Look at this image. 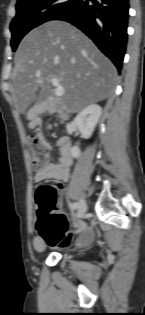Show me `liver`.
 Returning a JSON list of instances; mask_svg holds the SVG:
<instances>
[{"instance_id": "obj_1", "label": "liver", "mask_w": 145, "mask_h": 315, "mask_svg": "<svg viewBox=\"0 0 145 315\" xmlns=\"http://www.w3.org/2000/svg\"><path fill=\"white\" fill-rule=\"evenodd\" d=\"M116 77L115 66L84 33L67 22L50 21L20 42L11 93L22 113L33 104L47 103L67 117L107 99ZM53 78L65 89L58 100L53 98ZM32 112L33 108L28 111V119H32Z\"/></svg>"}]
</instances>
